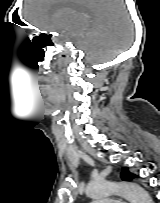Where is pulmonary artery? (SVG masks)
<instances>
[{
    "instance_id": "e3ab8cb5",
    "label": "pulmonary artery",
    "mask_w": 160,
    "mask_h": 203,
    "mask_svg": "<svg viewBox=\"0 0 160 203\" xmlns=\"http://www.w3.org/2000/svg\"><path fill=\"white\" fill-rule=\"evenodd\" d=\"M92 203H118L116 200H111V201H94Z\"/></svg>"
}]
</instances>
